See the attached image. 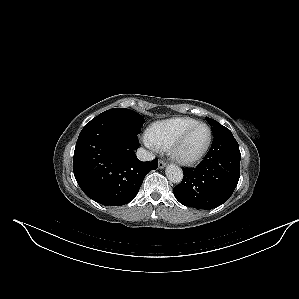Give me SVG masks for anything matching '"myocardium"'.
<instances>
[{"label": "myocardium", "instance_id": "obj_1", "mask_svg": "<svg viewBox=\"0 0 299 299\" xmlns=\"http://www.w3.org/2000/svg\"><path fill=\"white\" fill-rule=\"evenodd\" d=\"M197 126H205L208 130V139L205 144V146L202 148L201 151H199L197 154L192 155V156H186L181 153V147L183 143L185 142L186 138L188 135L191 133V131L196 128ZM212 139H213V134L211 127L204 123V122H196L195 124L191 125L188 127L186 130H184L171 144L169 147V152L171 157L177 161L180 164L184 165H190L194 164L198 161H200L209 151L211 144H212Z\"/></svg>", "mask_w": 299, "mask_h": 299}]
</instances>
